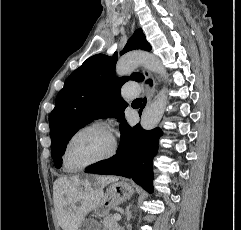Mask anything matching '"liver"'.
<instances>
[{
    "instance_id": "1",
    "label": "liver",
    "mask_w": 241,
    "mask_h": 230,
    "mask_svg": "<svg viewBox=\"0 0 241 230\" xmlns=\"http://www.w3.org/2000/svg\"><path fill=\"white\" fill-rule=\"evenodd\" d=\"M116 181L118 177L114 176H99L94 182H80L78 177L58 178L53 186V199L62 229L78 230L84 217L101 201L104 187Z\"/></svg>"
}]
</instances>
